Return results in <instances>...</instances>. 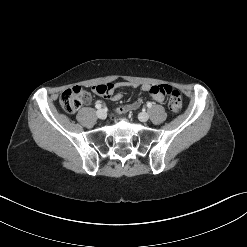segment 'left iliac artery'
Returning a JSON list of instances; mask_svg holds the SVG:
<instances>
[{"instance_id": "obj_1", "label": "left iliac artery", "mask_w": 247, "mask_h": 247, "mask_svg": "<svg viewBox=\"0 0 247 247\" xmlns=\"http://www.w3.org/2000/svg\"><path fill=\"white\" fill-rule=\"evenodd\" d=\"M147 107H148V108H151V107H152V103L148 102V103H147Z\"/></svg>"}]
</instances>
